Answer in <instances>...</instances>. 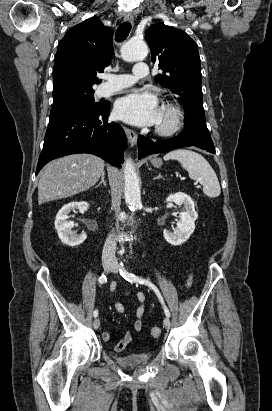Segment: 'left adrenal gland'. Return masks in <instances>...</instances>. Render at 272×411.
Returning <instances> with one entry per match:
<instances>
[{"mask_svg": "<svg viewBox=\"0 0 272 411\" xmlns=\"http://www.w3.org/2000/svg\"><path fill=\"white\" fill-rule=\"evenodd\" d=\"M159 178H163V176L161 174H158V176L155 177L154 180L159 179Z\"/></svg>", "mask_w": 272, "mask_h": 411, "instance_id": "a2214340", "label": "left adrenal gland"}]
</instances>
